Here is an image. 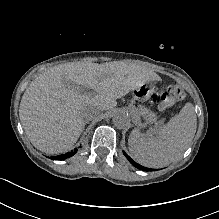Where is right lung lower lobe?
Instances as JSON below:
<instances>
[{
    "instance_id": "98d812e1",
    "label": "right lung lower lobe",
    "mask_w": 219,
    "mask_h": 219,
    "mask_svg": "<svg viewBox=\"0 0 219 219\" xmlns=\"http://www.w3.org/2000/svg\"><path fill=\"white\" fill-rule=\"evenodd\" d=\"M77 150H75L74 152H68L64 155H59V156H55V157H51V159L53 160H65L66 158H69L71 156H73L76 153Z\"/></svg>"
}]
</instances>
